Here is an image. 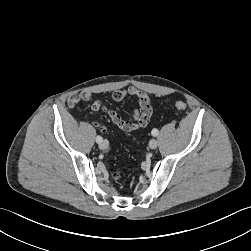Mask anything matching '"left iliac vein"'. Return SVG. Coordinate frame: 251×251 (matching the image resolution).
Returning <instances> with one entry per match:
<instances>
[{"instance_id":"4c4485c4","label":"left iliac vein","mask_w":251,"mask_h":251,"mask_svg":"<svg viewBox=\"0 0 251 251\" xmlns=\"http://www.w3.org/2000/svg\"><path fill=\"white\" fill-rule=\"evenodd\" d=\"M157 146H158L157 140H155V139L150 140V142H149V147H150L151 149H156Z\"/></svg>"}]
</instances>
